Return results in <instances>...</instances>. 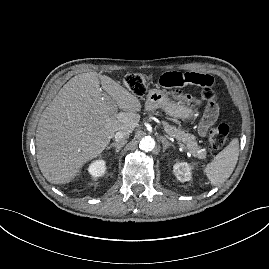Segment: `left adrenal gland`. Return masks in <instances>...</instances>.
Segmentation results:
<instances>
[{"label":"left adrenal gland","instance_id":"obj_1","mask_svg":"<svg viewBox=\"0 0 269 269\" xmlns=\"http://www.w3.org/2000/svg\"><path fill=\"white\" fill-rule=\"evenodd\" d=\"M161 142L163 144V152L166 151L167 148L173 146L171 143H169L164 137H161Z\"/></svg>","mask_w":269,"mask_h":269}]
</instances>
